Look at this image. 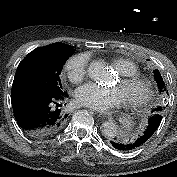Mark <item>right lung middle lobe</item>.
<instances>
[{
  "mask_svg": "<svg viewBox=\"0 0 177 177\" xmlns=\"http://www.w3.org/2000/svg\"><path fill=\"white\" fill-rule=\"evenodd\" d=\"M67 58L54 65L40 67L33 64L18 67L12 89H27L49 94H63L60 73Z\"/></svg>",
  "mask_w": 177,
  "mask_h": 177,
  "instance_id": "obj_1",
  "label": "right lung middle lobe"
}]
</instances>
